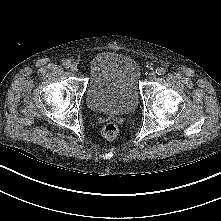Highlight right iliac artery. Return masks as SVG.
<instances>
[{
  "label": "right iliac artery",
  "mask_w": 221,
  "mask_h": 221,
  "mask_svg": "<svg viewBox=\"0 0 221 221\" xmlns=\"http://www.w3.org/2000/svg\"><path fill=\"white\" fill-rule=\"evenodd\" d=\"M63 66H64L65 68H69V67L71 66V62H70L69 60H65V61L63 62Z\"/></svg>",
  "instance_id": "right-iliac-artery-1"
}]
</instances>
